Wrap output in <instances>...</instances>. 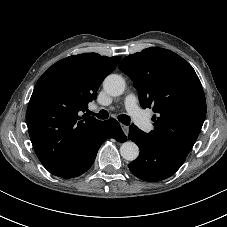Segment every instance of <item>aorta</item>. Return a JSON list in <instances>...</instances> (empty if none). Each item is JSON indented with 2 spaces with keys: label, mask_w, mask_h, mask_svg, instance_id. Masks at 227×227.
Listing matches in <instances>:
<instances>
[{
  "label": "aorta",
  "mask_w": 227,
  "mask_h": 227,
  "mask_svg": "<svg viewBox=\"0 0 227 227\" xmlns=\"http://www.w3.org/2000/svg\"><path fill=\"white\" fill-rule=\"evenodd\" d=\"M125 86V80L117 74L108 75L103 82L105 91L112 96L122 95ZM120 154L125 160L134 161L139 156V148L134 142L126 141L120 147Z\"/></svg>",
  "instance_id": "obj_1"
}]
</instances>
